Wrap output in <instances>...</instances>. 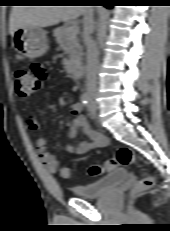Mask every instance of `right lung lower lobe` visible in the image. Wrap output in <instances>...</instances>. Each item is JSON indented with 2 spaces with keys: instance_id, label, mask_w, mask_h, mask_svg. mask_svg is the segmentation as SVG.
<instances>
[{
  "instance_id": "98d812e1",
  "label": "right lung lower lobe",
  "mask_w": 170,
  "mask_h": 231,
  "mask_svg": "<svg viewBox=\"0 0 170 231\" xmlns=\"http://www.w3.org/2000/svg\"><path fill=\"white\" fill-rule=\"evenodd\" d=\"M104 4H105V3H104ZM104 6H106V7H108V8H111V6H109V5H106V4H105Z\"/></svg>"
}]
</instances>
